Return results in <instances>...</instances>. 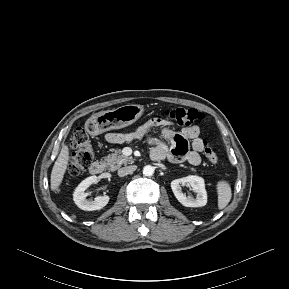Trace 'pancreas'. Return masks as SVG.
Instances as JSON below:
<instances>
[{
    "mask_svg": "<svg viewBox=\"0 0 289 289\" xmlns=\"http://www.w3.org/2000/svg\"><path fill=\"white\" fill-rule=\"evenodd\" d=\"M111 151L113 153L109 154L104 158V163L111 171L117 170L121 165H126L134 162V159L132 157H126L120 154V149H112ZM191 170L196 171L195 168H191Z\"/></svg>",
    "mask_w": 289,
    "mask_h": 289,
    "instance_id": "pancreas-1",
    "label": "pancreas"
}]
</instances>
